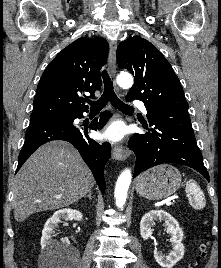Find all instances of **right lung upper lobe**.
<instances>
[{
	"instance_id": "1",
	"label": "right lung upper lobe",
	"mask_w": 221,
	"mask_h": 268,
	"mask_svg": "<svg viewBox=\"0 0 221 268\" xmlns=\"http://www.w3.org/2000/svg\"><path fill=\"white\" fill-rule=\"evenodd\" d=\"M109 45L101 38H79L47 66L37 86L30 121L72 118L88 111L81 95L101 87L100 70Z\"/></svg>"
}]
</instances>
